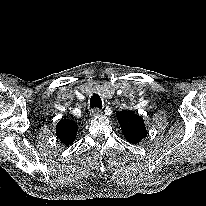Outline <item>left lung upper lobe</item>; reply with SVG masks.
<instances>
[{
  "instance_id": "1",
  "label": "left lung upper lobe",
  "mask_w": 206,
  "mask_h": 206,
  "mask_svg": "<svg viewBox=\"0 0 206 206\" xmlns=\"http://www.w3.org/2000/svg\"><path fill=\"white\" fill-rule=\"evenodd\" d=\"M116 117L128 142L137 144L146 137L147 131L141 116L128 110H122L116 112Z\"/></svg>"
}]
</instances>
